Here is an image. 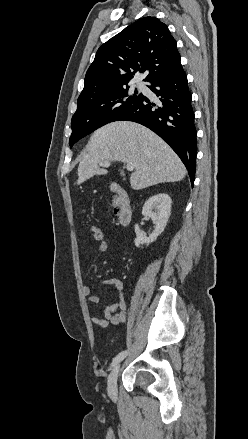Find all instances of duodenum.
I'll list each match as a JSON object with an SVG mask.
<instances>
[{
	"label": "duodenum",
	"instance_id": "duodenum-1",
	"mask_svg": "<svg viewBox=\"0 0 248 439\" xmlns=\"http://www.w3.org/2000/svg\"><path fill=\"white\" fill-rule=\"evenodd\" d=\"M111 190L115 194L113 205L114 212L118 217L119 223L123 226H126L130 224L133 218L130 196L127 191L117 182L112 184Z\"/></svg>",
	"mask_w": 248,
	"mask_h": 439
}]
</instances>
